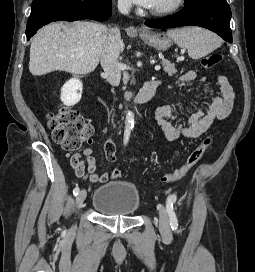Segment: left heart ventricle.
Segmentation results:
<instances>
[{
	"mask_svg": "<svg viewBox=\"0 0 255 272\" xmlns=\"http://www.w3.org/2000/svg\"><path fill=\"white\" fill-rule=\"evenodd\" d=\"M173 0H155L153 6L151 7L152 10L163 8L170 4Z\"/></svg>",
	"mask_w": 255,
	"mask_h": 272,
	"instance_id": "obj_1",
	"label": "left heart ventricle"
}]
</instances>
